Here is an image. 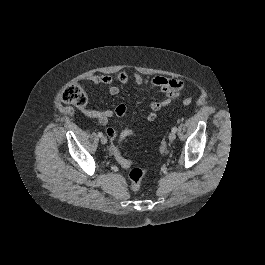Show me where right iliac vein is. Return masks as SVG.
Instances as JSON below:
<instances>
[{
  "instance_id": "63e3f726",
  "label": "right iliac vein",
  "mask_w": 265,
  "mask_h": 265,
  "mask_svg": "<svg viewBox=\"0 0 265 265\" xmlns=\"http://www.w3.org/2000/svg\"><path fill=\"white\" fill-rule=\"evenodd\" d=\"M100 141H101L102 144H106L107 143V138L102 136Z\"/></svg>"
}]
</instances>
